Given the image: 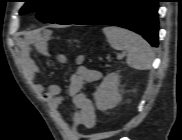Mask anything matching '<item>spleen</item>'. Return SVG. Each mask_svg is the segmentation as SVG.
Listing matches in <instances>:
<instances>
[{
	"instance_id": "3e777b00",
	"label": "spleen",
	"mask_w": 182,
	"mask_h": 140,
	"mask_svg": "<svg viewBox=\"0 0 182 140\" xmlns=\"http://www.w3.org/2000/svg\"><path fill=\"white\" fill-rule=\"evenodd\" d=\"M103 32L116 50L127 53V64L137 70H148L152 67L154 51L150 44L140 35L120 27H105Z\"/></svg>"
}]
</instances>
